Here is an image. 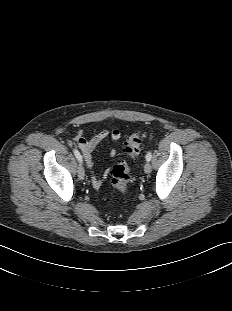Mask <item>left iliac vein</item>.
Returning <instances> with one entry per match:
<instances>
[{"instance_id": "4c4485c4", "label": "left iliac vein", "mask_w": 232, "mask_h": 311, "mask_svg": "<svg viewBox=\"0 0 232 311\" xmlns=\"http://www.w3.org/2000/svg\"><path fill=\"white\" fill-rule=\"evenodd\" d=\"M152 170L151 164L149 163V161H147L144 165V172L146 174H149Z\"/></svg>"}]
</instances>
